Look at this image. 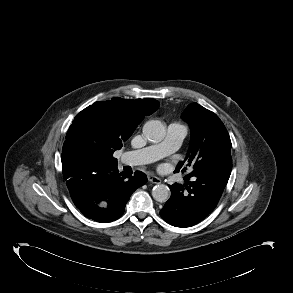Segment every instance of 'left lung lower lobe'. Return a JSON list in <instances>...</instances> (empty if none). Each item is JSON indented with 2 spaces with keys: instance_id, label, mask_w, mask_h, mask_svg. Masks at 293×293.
I'll use <instances>...</instances> for the list:
<instances>
[{
  "instance_id": "left-lung-lower-lobe-1",
  "label": "left lung lower lobe",
  "mask_w": 293,
  "mask_h": 293,
  "mask_svg": "<svg viewBox=\"0 0 293 293\" xmlns=\"http://www.w3.org/2000/svg\"><path fill=\"white\" fill-rule=\"evenodd\" d=\"M184 177L186 183L170 185L171 197L160 211L161 217L176 227H190L216 207L228 180L211 174Z\"/></svg>"
}]
</instances>
